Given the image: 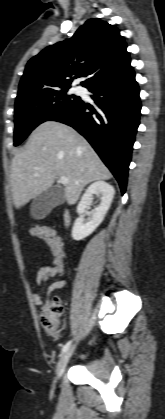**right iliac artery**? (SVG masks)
I'll return each instance as SVG.
<instances>
[{
  "mask_svg": "<svg viewBox=\"0 0 165 419\" xmlns=\"http://www.w3.org/2000/svg\"><path fill=\"white\" fill-rule=\"evenodd\" d=\"M71 342L72 341H68L64 346H63V348H62V354L64 353V352H66L68 349H69V347H70V345H71Z\"/></svg>",
  "mask_w": 165,
  "mask_h": 419,
  "instance_id": "obj_1",
  "label": "right iliac artery"
}]
</instances>
